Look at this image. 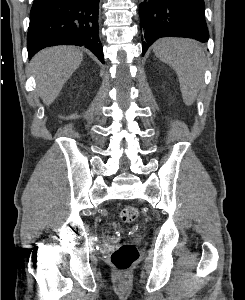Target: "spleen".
Listing matches in <instances>:
<instances>
[{
	"mask_svg": "<svg viewBox=\"0 0 245 300\" xmlns=\"http://www.w3.org/2000/svg\"><path fill=\"white\" fill-rule=\"evenodd\" d=\"M153 52L175 70L183 101L192 105L203 81L205 54L202 47L189 39L164 38L155 43Z\"/></svg>",
	"mask_w": 245,
	"mask_h": 300,
	"instance_id": "1",
	"label": "spleen"
}]
</instances>
